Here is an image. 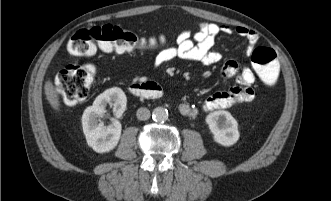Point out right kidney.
Returning a JSON list of instances; mask_svg holds the SVG:
<instances>
[{"label":"right kidney","instance_id":"ca27d5eb","mask_svg":"<svg viewBox=\"0 0 331 201\" xmlns=\"http://www.w3.org/2000/svg\"><path fill=\"white\" fill-rule=\"evenodd\" d=\"M127 98L122 89L110 88L100 94L92 106L85 109L82 115V127L87 144L97 153L113 150L121 137V123L113 119L105 126L100 118L106 113V106L113 107L116 118H120L126 109Z\"/></svg>","mask_w":331,"mask_h":201}]
</instances>
